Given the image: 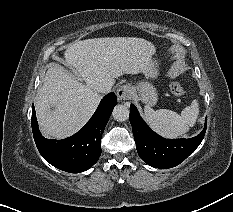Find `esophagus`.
Here are the masks:
<instances>
[{
  "label": "esophagus",
  "instance_id": "esophagus-1",
  "mask_svg": "<svg viewBox=\"0 0 233 212\" xmlns=\"http://www.w3.org/2000/svg\"><path fill=\"white\" fill-rule=\"evenodd\" d=\"M133 95L132 87L128 84L122 85L117 90V97L120 101L130 100Z\"/></svg>",
  "mask_w": 233,
  "mask_h": 212
}]
</instances>
